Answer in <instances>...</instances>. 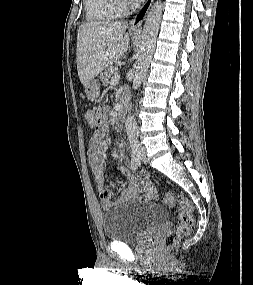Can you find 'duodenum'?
Instances as JSON below:
<instances>
[{
    "mask_svg": "<svg viewBox=\"0 0 253 285\" xmlns=\"http://www.w3.org/2000/svg\"><path fill=\"white\" fill-rule=\"evenodd\" d=\"M127 108H128L127 101L124 99L119 103L117 107V115L115 119V127L117 129L122 128L124 125Z\"/></svg>",
    "mask_w": 253,
    "mask_h": 285,
    "instance_id": "1",
    "label": "duodenum"
}]
</instances>
